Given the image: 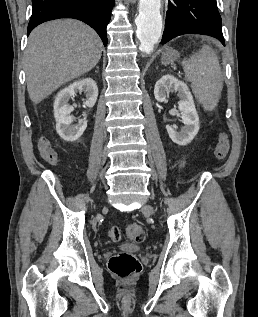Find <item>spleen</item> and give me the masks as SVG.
Segmentation results:
<instances>
[{"instance_id": "3e777b00", "label": "spleen", "mask_w": 258, "mask_h": 317, "mask_svg": "<svg viewBox=\"0 0 258 317\" xmlns=\"http://www.w3.org/2000/svg\"><path fill=\"white\" fill-rule=\"evenodd\" d=\"M182 64L196 98L205 110H213L219 102L223 80L218 58L211 46L204 44Z\"/></svg>"}]
</instances>
